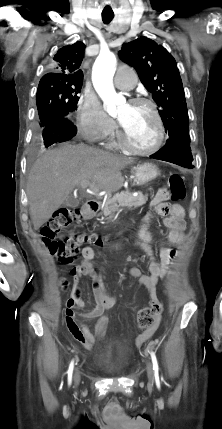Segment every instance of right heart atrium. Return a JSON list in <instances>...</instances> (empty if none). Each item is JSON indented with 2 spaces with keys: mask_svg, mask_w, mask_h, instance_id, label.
<instances>
[{
  "mask_svg": "<svg viewBox=\"0 0 222 429\" xmlns=\"http://www.w3.org/2000/svg\"><path fill=\"white\" fill-rule=\"evenodd\" d=\"M76 118L80 133L90 141L104 140L115 129L114 121L105 113L98 97L88 91H83L78 99Z\"/></svg>",
  "mask_w": 222,
  "mask_h": 429,
  "instance_id": "right-heart-atrium-1",
  "label": "right heart atrium"
}]
</instances>
